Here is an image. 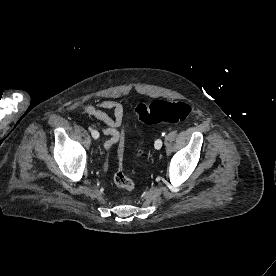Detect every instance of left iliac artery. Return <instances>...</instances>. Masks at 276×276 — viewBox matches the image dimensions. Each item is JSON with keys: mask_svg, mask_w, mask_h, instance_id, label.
<instances>
[{"mask_svg": "<svg viewBox=\"0 0 276 276\" xmlns=\"http://www.w3.org/2000/svg\"><path fill=\"white\" fill-rule=\"evenodd\" d=\"M165 135V133H162V136H164Z\"/></svg>", "mask_w": 276, "mask_h": 276, "instance_id": "44dca946", "label": "left iliac artery"}]
</instances>
